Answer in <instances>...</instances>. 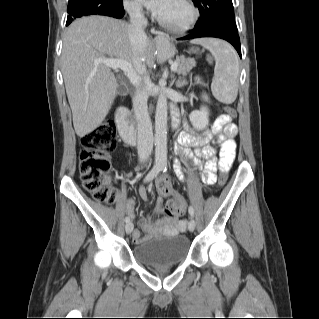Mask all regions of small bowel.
Instances as JSON below:
<instances>
[{"mask_svg": "<svg viewBox=\"0 0 319 319\" xmlns=\"http://www.w3.org/2000/svg\"><path fill=\"white\" fill-rule=\"evenodd\" d=\"M204 98L206 99V96H204ZM173 116L174 118L177 117L175 111H173ZM237 133L238 129L233 121V117L229 114H221L214 121L211 130L197 132L190 126H187L186 130L180 133L178 137V152H181L186 159L190 160L189 149L193 148L197 157L205 159L206 161L204 164L194 161L192 164L202 171V182L206 185H213L217 181V168L224 172H228L230 169L235 158V137L237 136ZM213 135H215L216 138H213ZM217 145L220 146L219 161L214 158L217 151ZM175 170L179 179L184 181L183 171L177 161H175ZM160 183L169 184L165 177H160L156 180L157 188ZM158 190L161 195L169 196L171 199L176 200L182 205L183 212L180 216L183 217L186 212V203L184 199L170 186L163 189L158 188ZM138 191L143 200L148 199V190L145 186H140ZM125 212L131 217L135 216V202L133 199H129L126 202ZM186 225L187 222L185 218L179 220L160 218L156 221L147 218L141 222V227L147 236L160 231H165L170 234L181 233L186 230ZM145 239V237H142L140 231L135 230L133 232L134 243L139 244Z\"/></svg>", "mask_w": 319, "mask_h": 319, "instance_id": "small-bowel-1", "label": "small bowel"}]
</instances>
